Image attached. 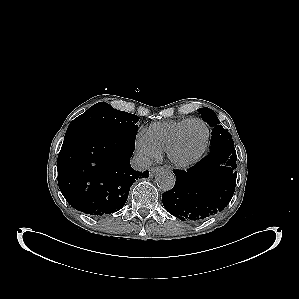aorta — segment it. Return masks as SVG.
Segmentation results:
<instances>
[{"instance_id": "obj_1", "label": "aorta", "mask_w": 299, "mask_h": 299, "mask_svg": "<svg viewBox=\"0 0 299 299\" xmlns=\"http://www.w3.org/2000/svg\"><path fill=\"white\" fill-rule=\"evenodd\" d=\"M156 182L161 190L169 191L175 185V176L172 172L163 170L157 174Z\"/></svg>"}]
</instances>
